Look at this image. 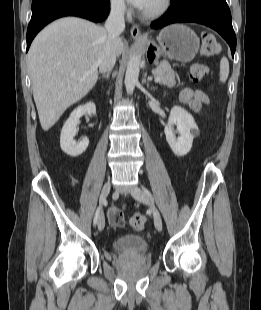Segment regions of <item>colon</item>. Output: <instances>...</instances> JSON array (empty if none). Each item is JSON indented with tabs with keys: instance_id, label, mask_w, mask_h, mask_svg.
Listing matches in <instances>:
<instances>
[{
	"instance_id": "obj_1",
	"label": "colon",
	"mask_w": 261,
	"mask_h": 310,
	"mask_svg": "<svg viewBox=\"0 0 261 310\" xmlns=\"http://www.w3.org/2000/svg\"><path fill=\"white\" fill-rule=\"evenodd\" d=\"M220 52V45L212 34L206 33L202 38L201 53L204 57H213ZM206 73V67L196 63L192 65L190 77L193 81L200 80ZM122 208H117L111 204L107 210L112 227H123L125 216L122 214ZM130 225L135 230H142L146 224V217L141 213H135L131 216Z\"/></svg>"
}]
</instances>
